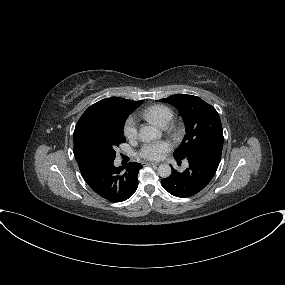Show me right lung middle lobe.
Here are the masks:
<instances>
[{
  "mask_svg": "<svg viewBox=\"0 0 285 285\" xmlns=\"http://www.w3.org/2000/svg\"><path fill=\"white\" fill-rule=\"evenodd\" d=\"M133 109L119 111L111 118L90 121L74 131V155L78 164L114 161L115 148L125 142L123 127Z\"/></svg>",
  "mask_w": 285,
  "mask_h": 285,
  "instance_id": "right-lung-middle-lobe-1",
  "label": "right lung middle lobe"
}]
</instances>
